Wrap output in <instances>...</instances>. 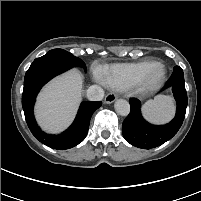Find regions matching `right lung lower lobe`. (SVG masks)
Segmentation results:
<instances>
[{
	"instance_id": "right-lung-lower-lobe-1",
	"label": "right lung lower lobe",
	"mask_w": 201,
	"mask_h": 201,
	"mask_svg": "<svg viewBox=\"0 0 201 201\" xmlns=\"http://www.w3.org/2000/svg\"><path fill=\"white\" fill-rule=\"evenodd\" d=\"M75 64L61 54L47 53L33 61L24 78L22 107L27 125L35 138L46 146L64 150L81 143L87 135L92 114L102 102L84 101L72 125L59 135L43 132L35 121L33 106L42 86L50 79L74 67Z\"/></svg>"
}]
</instances>
